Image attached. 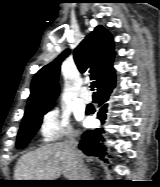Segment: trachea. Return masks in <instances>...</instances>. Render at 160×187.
Returning <instances> with one entry per match:
<instances>
[{
  "instance_id": "trachea-1",
  "label": "trachea",
  "mask_w": 160,
  "mask_h": 187,
  "mask_svg": "<svg viewBox=\"0 0 160 187\" xmlns=\"http://www.w3.org/2000/svg\"><path fill=\"white\" fill-rule=\"evenodd\" d=\"M95 86H96L95 82H92L90 86L92 91H94Z\"/></svg>"
}]
</instances>
